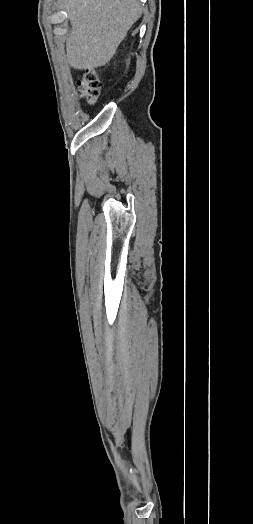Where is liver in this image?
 I'll list each match as a JSON object with an SVG mask.
<instances>
[{"label": "liver", "instance_id": "6515ba94", "mask_svg": "<svg viewBox=\"0 0 253 524\" xmlns=\"http://www.w3.org/2000/svg\"><path fill=\"white\" fill-rule=\"evenodd\" d=\"M61 7L72 27L66 40L67 60L79 70L109 63L142 14L138 0H62Z\"/></svg>", "mask_w": 253, "mask_h": 524}]
</instances>
